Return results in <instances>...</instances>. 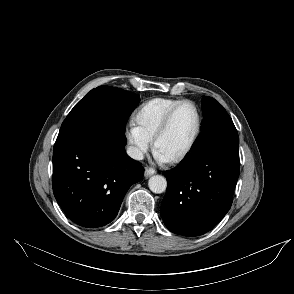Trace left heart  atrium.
<instances>
[{
  "label": "left heart atrium",
  "instance_id": "1",
  "mask_svg": "<svg viewBox=\"0 0 294 294\" xmlns=\"http://www.w3.org/2000/svg\"><path fill=\"white\" fill-rule=\"evenodd\" d=\"M155 157H156V159L158 160V161H160V162H165L167 159L164 157V156H162L160 153H158L157 151L155 152Z\"/></svg>",
  "mask_w": 294,
  "mask_h": 294
}]
</instances>
